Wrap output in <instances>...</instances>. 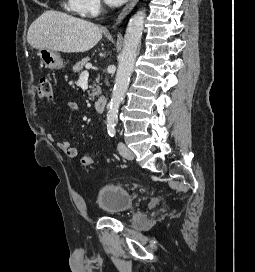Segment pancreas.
I'll return each mask as SVG.
<instances>
[{
    "label": "pancreas",
    "instance_id": "obj_1",
    "mask_svg": "<svg viewBox=\"0 0 255 272\" xmlns=\"http://www.w3.org/2000/svg\"><path fill=\"white\" fill-rule=\"evenodd\" d=\"M90 58L86 57L83 58L81 61L77 62L74 66H73V71L75 73H80L83 70V67L86 66L87 64H89ZM100 80L99 77H97L93 83L92 88V93L89 94L90 99H94L95 96L101 94V88H100Z\"/></svg>",
    "mask_w": 255,
    "mask_h": 272
}]
</instances>
